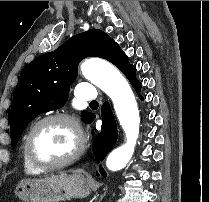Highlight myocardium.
<instances>
[{
    "instance_id": "f54148a6",
    "label": "myocardium",
    "mask_w": 209,
    "mask_h": 202,
    "mask_svg": "<svg viewBox=\"0 0 209 202\" xmlns=\"http://www.w3.org/2000/svg\"><path fill=\"white\" fill-rule=\"evenodd\" d=\"M49 121H61L69 125L76 133L77 143L74 148V151L66 158L54 163H42L36 160L32 154L31 139L37 128ZM85 142H86L85 134L78 120L69 114L57 112L41 117L30 127L24 141L23 151L28 162L37 170L39 171L57 170V169H62L70 165L74 161H76L83 154L85 150Z\"/></svg>"
}]
</instances>
